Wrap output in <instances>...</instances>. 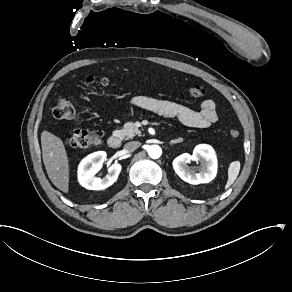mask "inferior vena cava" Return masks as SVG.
I'll list each match as a JSON object with an SVG mask.
<instances>
[{
  "label": "inferior vena cava",
  "mask_w": 292,
  "mask_h": 292,
  "mask_svg": "<svg viewBox=\"0 0 292 292\" xmlns=\"http://www.w3.org/2000/svg\"><path fill=\"white\" fill-rule=\"evenodd\" d=\"M140 146H141V143L139 141H131V142L126 143L124 148L129 152H133Z\"/></svg>",
  "instance_id": "602c4592"
}]
</instances>
